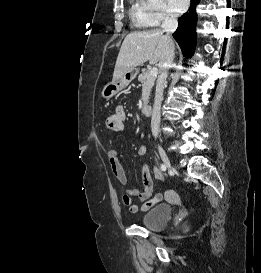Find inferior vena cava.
Listing matches in <instances>:
<instances>
[{"mask_svg":"<svg viewBox=\"0 0 261 273\" xmlns=\"http://www.w3.org/2000/svg\"><path fill=\"white\" fill-rule=\"evenodd\" d=\"M178 21L173 13L167 12L164 15L162 29L166 33L167 48L164 59L159 64V76L156 84L155 99L151 118V131L153 136L157 137L161 118V102L163 99V90L166 84L168 71L173 67L175 46L172 40V33L176 31Z\"/></svg>","mask_w":261,"mask_h":273,"instance_id":"inferior-vena-cava-1","label":"inferior vena cava"}]
</instances>
